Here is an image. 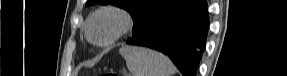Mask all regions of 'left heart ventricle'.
<instances>
[{
  "label": "left heart ventricle",
  "mask_w": 287,
  "mask_h": 76,
  "mask_svg": "<svg viewBox=\"0 0 287 76\" xmlns=\"http://www.w3.org/2000/svg\"><path fill=\"white\" fill-rule=\"evenodd\" d=\"M117 25L118 21L114 16L104 15L93 22L90 33L93 38L104 40L115 32Z\"/></svg>",
  "instance_id": "obj_1"
}]
</instances>
